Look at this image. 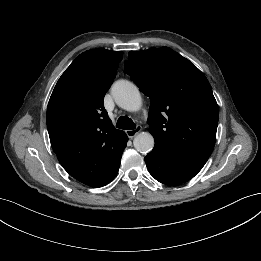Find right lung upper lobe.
I'll list each match as a JSON object with an SVG mask.
<instances>
[{"label":"right lung upper lobe","mask_w":261,"mask_h":261,"mask_svg":"<svg viewBox=\"0 0 261 261\" xmlns=\"http://www.w3.org/2000/svg\"><path fill=\"white\" fill-rule=\"evenodd\" d=\"M122 58V51L106 49L80 54L58 80L48 103L52 148L64 169L89 186L113 170L128 141L103 105Z\"/></svg>","instance_id":"right-lung-upper-lobe-1"}]
</instances>
